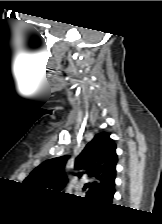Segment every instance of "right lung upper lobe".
<instances>
[{
    "label": "right lung upper lobe",
    "mask_w": 162,
    "mask_h": 224,
    "mask_svg": "<svg viewBox=\"0 0 162 224\" xmlns=\"http://www.w3.org/2000/svg\"><path fill=\"white\" fill-rule=\"evenodd\" d=\"M68 158L62 156L46 160L31 172L24 183L33 187L62 189L67 182L64 169ZM116 164V144L110 134H97L75 160V169L87 170L91 179L87 192L89 197L109 202L108 198L115 192Z\"/></svg>",
    "instance_id": "cb5924a9"
}]
</instances>
